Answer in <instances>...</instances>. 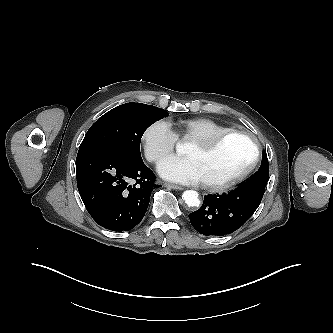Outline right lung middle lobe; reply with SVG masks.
I'll list each match as a JSON object with an SVG mask.
<instances>
[{"mask_svg": "<svg viewBox=\"0 0 333 333\" xmlns=\"http://www.w3.org/2000/svg\"><path fill=\"white\" fill-rule=\"evenodd\" d=\"M164 109L142 103H126L101 116L87 131L79 151L107 149L141 159L140 141L154 122L167 117Z\"/></svg>", "mask_w": 333, "mask_h": 333, "instance_id": "dd1d6c3e", "label": "right lung middle lobe"}]
</instances>
